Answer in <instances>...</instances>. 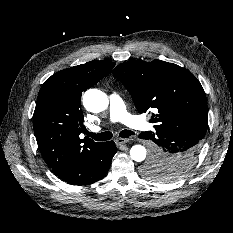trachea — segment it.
Wrapping results in <instances>:
<instances>
[{"instance_id":"1","label":"trachea","mask_w":233,"mask_h":233,"mask_svg":"<svg viewBox=\"0 0 233 233\" xmlns=\"http://www.w3.org/2000/svg\"><path fill=\"white\" fill-rule=\"evenodd\" d=\"M86 135L93 138L96 141H107L113 137L112 132H109V131L101 132L99 134L86 131ZM131 135H134V132H132L131 130H123L119 133V136L122 138H128Z\"/></svg>"}]
</instances>
